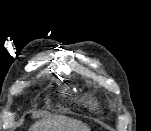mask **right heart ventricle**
<instances>
[{
    "label": "right heart ventricle",
    "instance_id": "1",
    "mask_svg": "<svg viewBox=\"0 0 151 131\" xmlns=\"http://www.w3.org/2000/svg\"><path fill=\"white\" fill-rule=\"evenodd\" d=\"M80 101L83 102L86 106L90 107L91 109H96L98 104H97V101L95 99H93L92 97L90 96H82L80 98Z\"/></svg>",
    "mask_w": 151,
    "mask_h": 131
}]
</instances>
